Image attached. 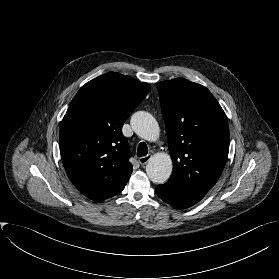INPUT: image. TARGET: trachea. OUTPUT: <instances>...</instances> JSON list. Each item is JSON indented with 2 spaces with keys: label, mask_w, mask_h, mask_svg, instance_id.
<instances>
[{
  "label": "trachea",
  "mask_w": 279,
  "mask_h": 279,
  "mask_svg": "<svg viewBox=\"0 0 279 279\" xmlns=\"http://www.w3.org/2000/svg\"><path fill=\"white\" fill-rule=\"evenodd\" d=\"M147 154H148V147L145 142H141L137 148V156L143 157L146 156Z\"/></svg>",
  "instance_id": "3493384b"
}]
</instances>
